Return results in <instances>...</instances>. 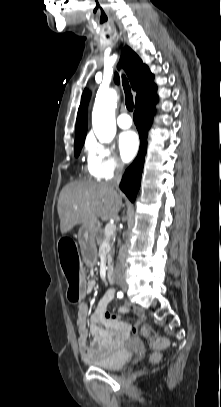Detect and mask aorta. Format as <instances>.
Wrapping results in <instances>:
<instances>
[{"label":"aorta","instance_id":"aorta-1","mask_svg":"<svg viewBox=\"0 0 221 407\" xmlns=\"http://www.w3.org/2000/svg\"><path fill=\"white\" fill-rule=\"evenodd\" d=\"M116 103L117 93L113 89L100 91L96 95L92 112V126L101 143L111 142L116 134Z\"/></svg>","mask_w":221,"mask_h":407}]
</instances>
